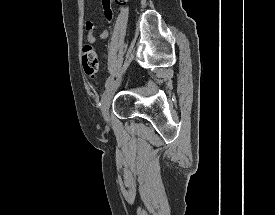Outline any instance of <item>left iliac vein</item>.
Instances as JSON below:
<instances>
[{
	"mask_svg": "<svg viewBox=\"0 0 275 215\" xmlns=\"http://www.w3.org/2000/svg\"><path fill=\"white\" fill-rule=\"evenodd\" d=\"M121 78H118L114 82L111 83V85L105 90V92L102 95L101 98V112L103 115V118L106 122H109V107L111 104V100L113 98V95L115 94L117 88L120 85Z\"/></svg>",
	"mask_w": 275,
	"mask_h": 215,
	"instance_id": "4c4485c4",
	"label": "left iliac vein"
}]
</instances>
